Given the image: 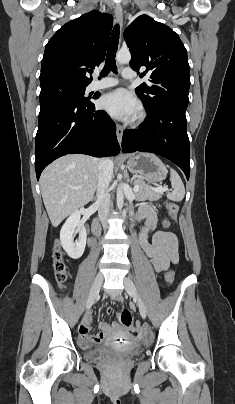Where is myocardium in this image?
Returning a JSON list of instances; mask_svg holds the SVG:
<instances>
[{
    "label": "myocardium",
    "instance_id": "1",
    "mask_svg": "<svg viewBox=\"0 0 235 404\" xmlns=\"http://www.w3.org/2000/svg\"><path fill=\"white\" fill-rule=\"evenodd\" d=\"M145 111L144 110H140L139 114L137 115L136 119H135V125H140L144 119H145Z\"/></svg>",
    "mask_w": 235,
    "mask_h": 404
}]
</instances>
